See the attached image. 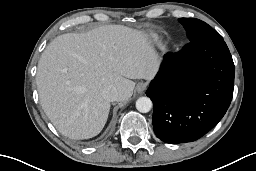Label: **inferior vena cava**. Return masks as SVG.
Segmentation results:
<instances>
[{
    "instance_id": "inferior-vena-cava-1",
    "label": "inferior vena cava",
    "mask_w": 256,
    "mask_h": 171,
    "mask_svg": "<svg viewBox=\"0 0 256 171\" xmlns=\"http://www.w3.org/2000/svg\"><path fill=\"white\" fill-rule=\"evenodd\" d=\"M102 95L107 101L114 102L118 100L119 93L115 87H106L102 91Z\"/></svg>"
}]
</instances>
